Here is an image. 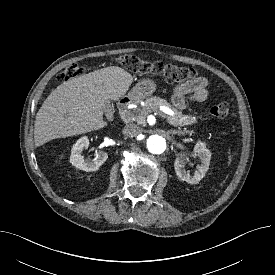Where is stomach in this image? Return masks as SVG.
I'll return each mask as SVG.
<instances>
[{
    "mask_svg": "<svg viewBox=\"0 0 275 275\" xmlns=\"http://www.w3.org/2000/svg\"><path fill=\"white\" fill-rule=\"evenodd\" d=\"M156 90V84L152 80H142L138 82L131 92L129 97L133 100H141L152 95Z\"/></svg>",
    "mask_w": 275,
    "mask_h": 275,
    "instance_id": "obj_1",
    "label": "stomach"
}]
</instances>
